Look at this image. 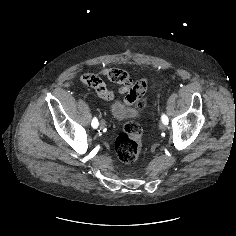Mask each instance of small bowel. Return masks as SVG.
Returning <instances> with one entry per match:
<instances>
[{
	"instance_id": "obj_1",
	"label": "small bowel",
	"mask_w": 236,
	"mask_h": 236,
	"mask_svg": "<svg viewBox=\"0 0 236 236\" xmlns=\"http://www.w3.org/2000/svg\"><path fill=\"white\" fill-rule=\"evenodd\" d=\"M100 74L122 86L123 94L119 104V111L122 114L127 113L128 107L131 106L132 102L144 91L148 82L147 77L142 76L139 81L133 84L128 73L117 68L102 69ZM82 82L87 87L94 89L97 94L104 99H110L113 96V94L107 90L101 79L95 74H85L82 77Z\"/></svg>"
}]
</instances>
